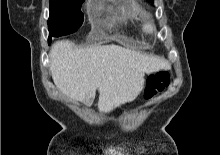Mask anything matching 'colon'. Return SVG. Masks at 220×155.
<instances>
[{"mask_svg": "<svg viewBox=\"0 0 220 155\" xmlns=\"http://www.w3.org/2000/svg\"><path fill=\"white\" fill-rule=\"evenodd\" d=\"M170 84V76L167 71H159L148 77L144 91L146 99H151L162 92Z\"/></svg>", "mask_w": 220, "mask_h": 155, "instance_id": "obj_1", "label": "colon"}]
</instances>
